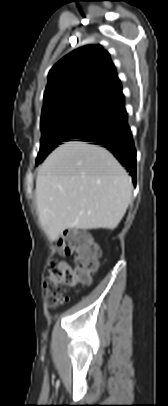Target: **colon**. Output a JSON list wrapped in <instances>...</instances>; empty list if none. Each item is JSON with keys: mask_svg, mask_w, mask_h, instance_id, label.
<instances>
[{"mask_svg": "<svg viewBox=\"0 0 168 406\" xmlns=\"http://www.w3.org/2000/svg\"><path fill=\"white\" fill-rule=\"evenodd\" d=\"M57 247L61 255L72 256L73 262L54 260L50 263L44 289L51 306L57 304L64 290L89 284L98 269L100 257L99 248L89 236L77 230L63 232L57 240Z\"/></svg>", "mask_w": 168, "mask_h": 406, "instance_id": "colon-1", "label": "colon"}]
</instances>
